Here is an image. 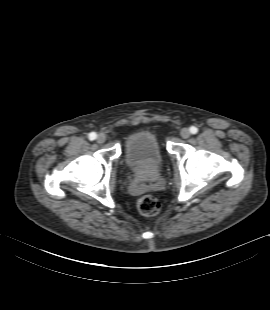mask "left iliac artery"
Wrapping results in <instances>:
<instances>
[{"instance_id":"obj_1","label":"left iliac artery","mask_w":270,"mask_h":310,"mask_svg":"<svg viewBox=\"0 0 270 310\" xmlns=\"http://www.w3.org/2000/svg\"><path fill=\"white\" fill-rule=\"evenodd\" d=\"M190 132H191L192 134H196V133L198 132V128L195 127V126H192V127H190Z\"/></svg>"}]
</instances>
